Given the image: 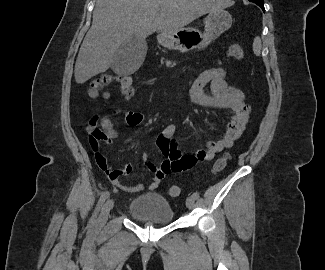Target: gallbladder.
Segmentation results:
<instances>
[{
  "label": "gallbladder",
  "mask_w": 325,
  "mask_h": 270,
  "mask_svg": "<svg viewBox=\"0 0 325 270\" xmlns=\"http://www.w3.org/2000/svg\"><path fill=\"white\" fill-rule=\"evenodd\" d=\"M146 52V40L131 36L118 48L111 68L118 75L133 74L143 63Z\"/></svg>",
  "instance_id": "1"
}]
</instances>
